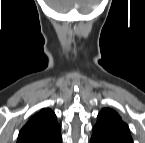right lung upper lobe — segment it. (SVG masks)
<instances>
[{
	"label": "right lung upper lobe",
	"instance_id": "1",
	"mask_svg": "<svg viewBox=\"0 0 145 143\" xmlns=\"http://www.w3.org/2000/svg\"><path fill=\"white\" fill-rule=\"evenodd\" d=\"M60 126L48 108L35 114L21 129L17 143H60Z\"/></svg>",
	"mask_w": 145,
	"mask_h": 143
}]
</instances>
